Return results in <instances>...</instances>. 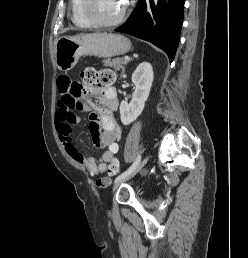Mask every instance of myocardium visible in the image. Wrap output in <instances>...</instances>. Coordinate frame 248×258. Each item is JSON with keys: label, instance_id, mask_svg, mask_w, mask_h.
<instances>
[{"label": "myocardium", "instance_id": "f54148a6", "mask_svg": "<svg viewBox=\"0 0 248 258\" xmlns=\"http://www.w3.org/2000/svg\"><path fill=\"white\" fill-rule=\"evenodd\" d=\"M91 2H92V0H82V4H81L82 13H83L84 17L86 18V20L90 23L91 26L113 27V26L120 24L126 17L128 6H127V4H124L123 10L117 18L110 20V21L98 20L92 15V13L90 11Z\"/></svg>", "mask_w": 248, "mask_h": 258}]
</instances>
